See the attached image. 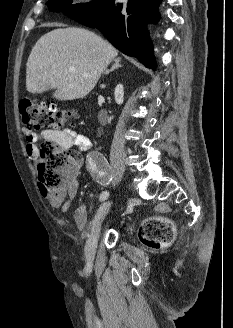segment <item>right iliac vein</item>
Instances as JSON below:
<instances>
[{
	"instance_id": "right-iliac-vein-1",
	"label": "right iliac vein",
	"mask_w": 233,
	"mask_h": 328,
	"mask_svg": "<svg viewBox=\"0 0 233 328\" xmlns=\"http://www.w3.org/2000/svg\"><path fill=\"white\" fill-rule=\"evenodd\" d=\"M111 205V201L104 202L93 221L91 232L85 245V257L89 263L94 259L101 225Z\"/></svg>"
}]
</instances>
